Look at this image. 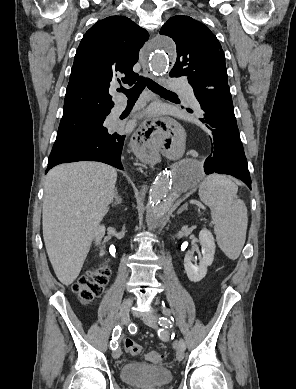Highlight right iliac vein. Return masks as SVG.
Masks as SVG:
<instances>
[{
  "label": "right iliac vein",
  "instance_id": "obj_1",
  "mask_svg": "<svg viewBox=\"0 0 296 389\" xmlns=\"http://www.w3.org/2000/svg\"><path fill=\"white\" fill-rule=\"evenodd\" d=\"M133 304V300L131 298L125 299L121 306L119 311V319L123 324H127L129 321V311ZM113 358L117 359L121 356V349H115L112 353Z\"/></svg>",
  "mask_w": 296,
  "mask_h": 389
}]
</instances>
